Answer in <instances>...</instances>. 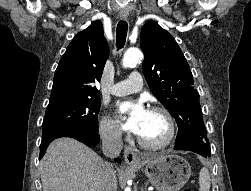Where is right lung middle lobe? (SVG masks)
<instances>
[{
    "instance_id": "right-lung-middle-lobe-1",
    "label": "right lung middle lobe",
    "mask_w": 251,
    "mask_h": 191,
    "mask_svg": "<svg viewBox=\"0 0 251 191\" xmlns=\"http://www.w3.org/2000/svg\"><path fill=\"white\" fill-rule=\"evenodd\" d=\"M99 99L64 102L46 109L42 137L67 127L98 131Z\"/></svg>"
}]
</instances>
